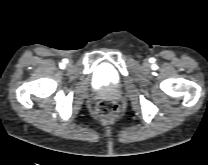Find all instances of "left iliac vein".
Listing matches in <instances>:
<instances>
[{
	"instance_id": "1",
	"label": "left iliac vein",
	"mask_w": 208,
	"mask_h": 165,
	"mask_svg": "<svg viewBox=\"0 0 208 165\" xmlns=\"http://www.w3.org/2000/svg\"><path fill=\"white\" fill-rule=\"evenodd\" d=\"M144 65H145V66H147V65H148V62H147V61H145V62H144Z\"/></svg>"
}]
</instances>
